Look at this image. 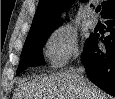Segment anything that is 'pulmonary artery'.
Wrapping results in <instances>:
<instances>
[{
	"label": "pulmonary artery",
	"mask_w": 115,
	"mask_h": 99,
	"mask_svg": "<svg viewBox=\"0 0 115 99\" xmlns=\"http://www.w3.org/2000/svg\"><path fill=\"white\" fill-rule=\"evenodd\" d=\"M88 24H89L90 27H95V26L98 24L97 18L91 17V18L88 20Z\"/></svg>",
	"instance_id": "e3ab8cb5"
}]
</instances>
